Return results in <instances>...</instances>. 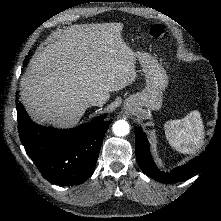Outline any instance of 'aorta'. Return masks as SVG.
<instances>
[{
  "label": "aorta",
  "mask_w": 221,
  "mask_h": 221,
  "mask_svg": "<svg viewBox=\"0 0 221 221\" xmlns=\"http://www.w3.org/2000/svg\"><path fill=\"white\" fill-rule=\"evenodd\" d=\"M130 126L125 120H118L113 124V132L116 136H125L129 133Z\"/></svg>",
  "instance_id": "762f6f07"
}]
</instances>
